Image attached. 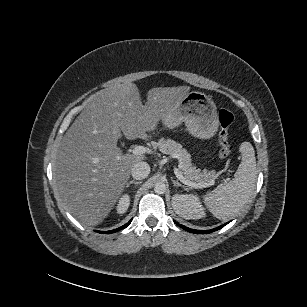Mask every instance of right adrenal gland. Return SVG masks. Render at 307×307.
Instances as JSON below:
<instances>
[{"label":"right adrenal gland","instance_id":"2a0ac1e0","mask_svg":"<svg viewBox=\"0 0 307 307\" xmlns=\"http://www.w3.org/2000/svg\"><path fill=\"white\" fill-rule=\"evenodd\" d=\"M131 183L140 184V183H142V180H139V181H137V180H130V181L126 182V186H128Z\"/></svg>","mask_w":307,"mask_h":307}]
</instances>
